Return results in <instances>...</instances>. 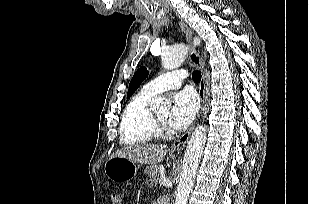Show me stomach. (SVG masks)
<instances>
[{"label": "stomach", "instance_id": "1", "mask_svg": "<svg viewBox=\"0 0 309 204\" xmlns=\"http://www.w3.org/2000/svg\"><path fill=\"white\" fill-rule=\"evenodd\" d=\"M135 162L123 157H111L105 164V174L116 182L128 181L137 174Z\"/></svg>", "mask_w": 309, "mask_h": 204}]
</instances>
